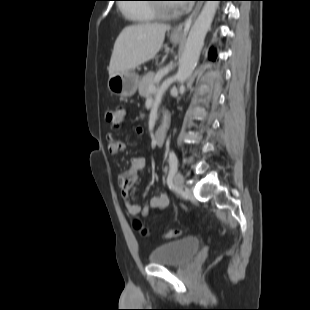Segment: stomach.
I'll return each instance as SVG.
<instances>
[{"label": "stomach", "instance_id": "1", "mask_svg": "<svg viewBox=\"0 0 310 310\" xmlns=\"http://www.w3.org/2000/svg\"><path fill=\"white\" fill-rule=\"evenodd\" d=\"M182 39L180 37L171 36V41L175 44ZM139 84V77L132 70L119 73L109 77L107 87L109 91L121 97H131L135 94Z\"/></svg>", "mask_w": 310, "mask_h": 310}]
</instances>
